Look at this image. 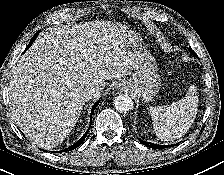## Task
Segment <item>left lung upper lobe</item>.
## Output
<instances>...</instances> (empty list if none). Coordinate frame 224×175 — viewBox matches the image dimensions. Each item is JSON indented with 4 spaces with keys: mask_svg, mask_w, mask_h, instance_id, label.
I'll return each mask as SVG.
<instances>
[{
    "mask_svg": "<svg viewBox=\"0 0 224 175\" xmlns=\"http://www.w3.org/2000/svg\"><path fill=\"white\" fill-rule=\"evenodd\" d=\"M189 52H190L193 56L197 57L196 53H195L191 48H189Z\"/></svg>",
    "mask_w": 224,
    "mask_h": 175,
    "instance_id": "1",
    "label": "left lung upper lobe"
}]
</instances>
